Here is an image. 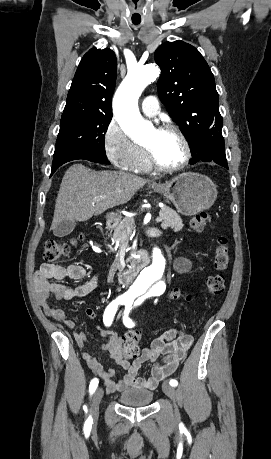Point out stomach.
I'll list each match as a JSON object with an SVG mask.
<instances>
[{"label": "stomach", "instance_id": "0dacf381", "mask_svg": "<svg viewBox=\"0 0 271 459\" xmlns=\"http://www.w3.org/2000/svg\"><path fill=\"white\" fill-rule=\"evenodd\" d=\"M149 188L152 192L162 194L171 200L177 212L183 216H195L203 210H209L217 198L214 182L207 176L193 174V172H185L165 184L149 186Z\"/></svg>", "mask_w": 271, "mask_h": 459}]
</instances>
